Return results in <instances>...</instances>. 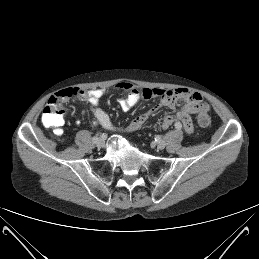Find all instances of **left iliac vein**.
<instances>
[{
	"label": "left iliac vein",
	"instance_id": "left-iliac-vein-1",
	"mask_svg": "<svg viewBox=\"0 0 259 259\" xmlns=\"http://www.w3.org/2000/svg\"><path fill=\"white\" fill-rule=\"evenodd\" d=\"M156 146H157V148L158 149H164L165 148V146H166V143H165V141H159L157 144H156Z\"/></svg>",
	"mask_w": 259,
	"mask_h": 259
}]
</instances>
